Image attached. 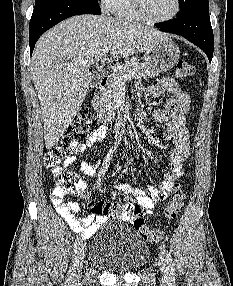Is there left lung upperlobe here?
<instances>
[{"label": "left lung upper lobe", "instance_id": "1", "mask_svg": "<svg viewBox=\"0 0 233 286\" xmlns=\"http://www.w3.org/2000/svg\"><path fill=\"white\" fill-rule=\"evenodd\" d=\"M203 0H179L180 14L178 17L187 14L193 6Z\"/></svg>", "mask_w": 233, "mask_h": 286}]
</instances>
